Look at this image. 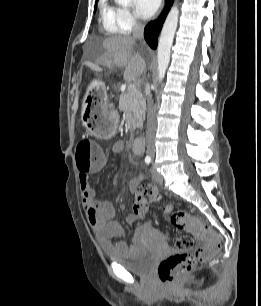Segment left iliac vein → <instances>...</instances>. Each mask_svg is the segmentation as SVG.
<instances>
[{
	"label": "left iliac vein",
	"mask_w": 261,
	"mask_h": 306,
	"mask_svg": "<svg viewBox=\"0 0 261 306\" xmlns=\"http://www.w3.org/2000/svg\"><path fill=\"white\" fill-rule=\"evenodd\" d=\"M153 181L159 185L163 183L162 175L159 172H157L154 168H153Z\"/></svg>",
	"instance_id": "obj_1"
}]
</instances>
